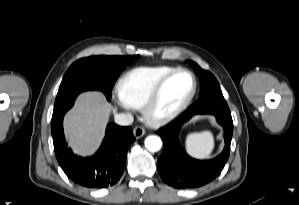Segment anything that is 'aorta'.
<instances>
[{"instance_id":"1","label":"aorta","mask_w":299,"mask_h":205,"mask_svg":"<svg viewBox=\"0 0 299 205\" xmlns=\"http://www.w3.org/2000/svg\"><path fill=\"white\" fill-rule=\"evenodd\" d=\"M161 146L162 141L158 136L151 135L145 139V147L151 152L160 150Z\"/></svg>"}]
</instances>
